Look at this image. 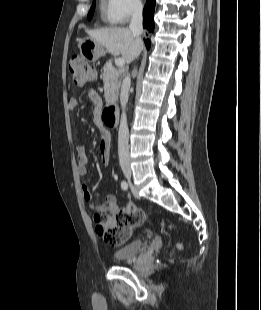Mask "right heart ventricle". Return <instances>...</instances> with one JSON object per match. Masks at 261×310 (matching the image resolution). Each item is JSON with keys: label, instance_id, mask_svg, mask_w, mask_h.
Wrapping results in <instances>:
<instances>
[{"label": "right heart ventricle", "instance_id": "right-heart-ventricle-1", "mask_svg": "<svg viewBox=\"0 0 261 310\" xmlns=\"http://www.w3.org/2000/svg\"><path fill=\"white\" fill-rule=\"evenodd\" d=\"M100 17L106 24H117L113 16L112 0H100L99 3Z\"/></svg>", "mask_w": 261, "mask_h": 310}]
</instances>
